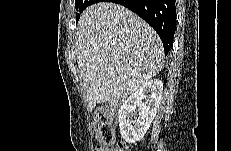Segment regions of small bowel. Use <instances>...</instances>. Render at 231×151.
<instances>
[{"label": "small bowel", "mask_w": 231, "mask_h": 151, "mask_svg": "<svg viewBox=\"0 0 231 151\" xmlns=\"http://www.w3.org/2000/svg\"><path fill=\"white\" fill-rule=\"evenodd\" d=\"M96 149H97V151H102V150H100V149H101V147H99V146H98Z\"/></svg>", "instance_id": "obj_1"}]
</instances>
